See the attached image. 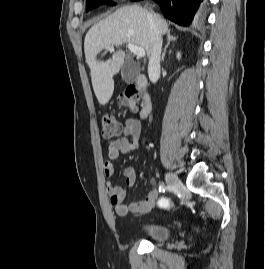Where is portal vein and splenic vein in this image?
Wrapping results in <instances>:
<instances>
[{"label":"portal vein and splenic vein","instance_id":"portal-vein-and-splenic-vein-1","mask_svg":"<svg viewBox=\"0 0 265 269\" xmlns=\"http://www.w3.org/2000/svg\"><path fill=\"white\" fill-rule=\"evenodd\" d=\"M128 49L134 53L138 58H143L145 57V50L141 47H138L137 45L128 43L127 44ZM108 49L113 50V46H110Z\"/></svg>","mask_w":265,"mask_h":269}]
</instances>
